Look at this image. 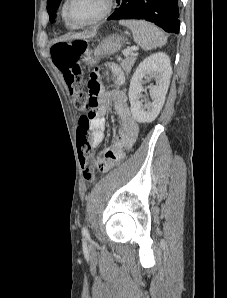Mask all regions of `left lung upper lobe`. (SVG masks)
I'll return each mask as SVG.
<instances>
[{"label": "left lung upper lobe", "instance_id": "1", "mask_svg": "<svg viewBox=\"0 0 227 298\" xmlns=\"http://www.w3.org/2000/svg\"><path fill=\"white\" fill-rule=\"evenodd\" d=\"M61 0H48L47 2V11L50 17V22L53 23L56 17V11L59 7Z\"/></svg>", "mask_w": 227, "mask_h": 298}]
</instances>
